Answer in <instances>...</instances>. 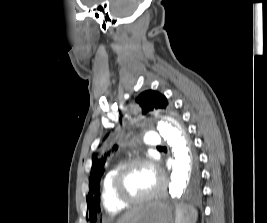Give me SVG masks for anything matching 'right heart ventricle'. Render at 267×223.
<instances>
[{"mask_svg":"<svg viewBox=\"0 0 267 223\" xmlns=\"http://www.w3.org/2000/svg\"><path fill=\"white\" fill-rule=\"evenodd\" d=\"M121 166L122 162L116 163L105 173L103 177L101 201L104 209L109 213H118L125 209V205L117 200L112 189L113 179Z\"/></svg>","mask_w":267,"mask_h":223,"instance_id":"e07e8e85","label":"right heart ventricle"}]
</instances>
